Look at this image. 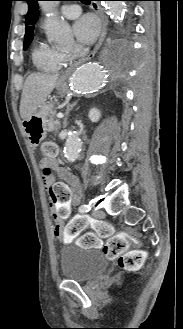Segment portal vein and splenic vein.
Listing matches in <instances>:
<instances>
[{
  "label": "portal vein and splenic vein",
  "mask_w": 183,
  "mask_h": 329,
  "mask_svg": "<svg viewBox=\"0 0 183 329\" xmlns=\"http://www.w3.org/2000/svg\"><path fill=\"white\" fill-rule=\"evenodd\" d=\"M57 117H58L59 119H62V118L64 117V115H63L62 113H58V114H57Z\"/></svg>",
  "instance_id": "1"
}]
</instances>
